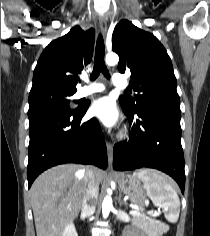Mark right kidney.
<instances>
[{"instance_id": "obj_1", "label": "right kidney", "mask_w": 210, "mask_h": 236, "mask_svg": "<svg viewBox=\"0 0 210 236\" xmlns=\"http://www.w3.org/2000/svg\"><path fill=\"white\" fill-rule=\"evenodd\" d=\"M62 236H78L73 223L70 222L69 224L66 225L62 233Z\"/></svg>"}]
</instances>
